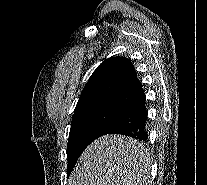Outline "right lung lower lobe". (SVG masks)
Returning a JSON list of instances; mask_svg holds the SVG:
<instances>
[{"label": "right lung lower lobe", "mask_w": 207, "mask_h": 185, "mask_svg": "<svg viewBox=\"0 0 207 185\" xmlns=\"http://www.w3.org/2000/svg\"><path fill=\"white\" fill-rule=\"evenodd\" d=\"M145 101L146 96L143 94L125 109L118 119L112 123L102 135L122 134L139 141H146L148 135L145 132L147 120Z\"/></svg>", "instance_id": "obj_1"}]
</instances>
